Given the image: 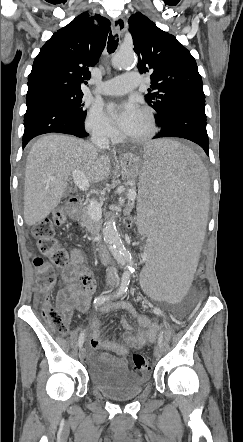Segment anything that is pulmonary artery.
<instances>
[{
	"label": "pulmonary artery",
	"instance_id": "pulmonary-artery-1",
	"mask_svg": "<svg viewBox=\"0 0 243 442\" xmlns=\"http://www.w3.org/2000/svg\"><path fill=\"white\" fill-rule=\"evenodd\" d=\"M140 84L141 78L139 73L131 71L100 83L99 93L104 95H122L138 87Z\"/></svg>",
	"mask_w": 243,
	"mask_h": 442
}]
</instances>
